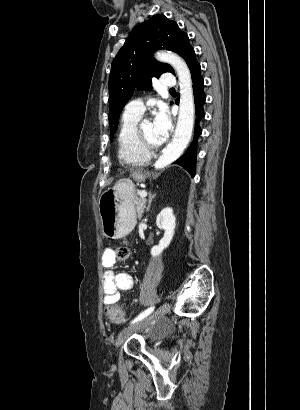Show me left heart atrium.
<instances>
[{
  "label": "left heart atrium",
  "instance_id": "39dd6f15",
  "mask_svg": "<svg viewBox=\"0 0 300 410\" xmlns=\"http://www.w3.org/2000/svg\"><path fill=\"white\" fill-rule=\"evenodd\" d=\"M155 134L160 143H163L171 130V120L164 106H159L153 118Z\"/></svg>",
  "mask_w": 300,
  "mask_h": 410
}]
</instances>
